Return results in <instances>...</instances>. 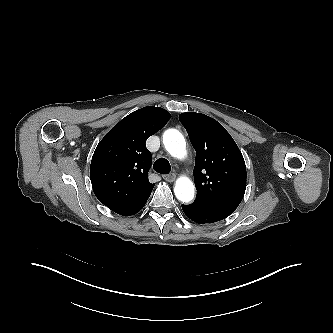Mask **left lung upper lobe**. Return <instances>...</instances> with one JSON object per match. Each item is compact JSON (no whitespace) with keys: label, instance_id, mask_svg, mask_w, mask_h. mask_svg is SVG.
I'll use <instances>...</instances> for the list:
<instances>
[{"label":"left lung upper lobe","instance_id":"5c2ea615","mask_svg":"<svg viewBox=\"0 0 333 333\" xmlns=\"http://www.w3.org/2000/svg\"><path fill=\"white\" fill-rule=\"evenodd\" d=\"M196 150L193 171L197 196L194 202L231 215L246 189V165L233 138L213 118L201 113L179 115Z\"/></svg>","mask_w":333,"mask_h":333}]
</instances>
